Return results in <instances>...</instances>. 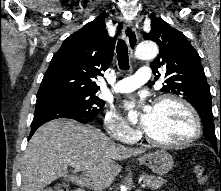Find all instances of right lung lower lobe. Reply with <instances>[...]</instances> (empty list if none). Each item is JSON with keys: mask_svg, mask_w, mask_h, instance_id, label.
Here are the masks:
<instances>
[{"mask_svg": "<svg viewBox=\"0 0 221 191\" xmlns=\"http://www.w3.org/2000/svg\"><path fill=\"white\" fill-rule=\"evenodd\" d=\"M58 118L74 119L84 124L93 120L77 115L67 105L54 98L37 99L29 139L41 125Z\"/></svg>", "mask_w": 221, "mask_h": 191, "instance_id": "98d812e1", "label": "right lung lower lobe"}]
</instances>
